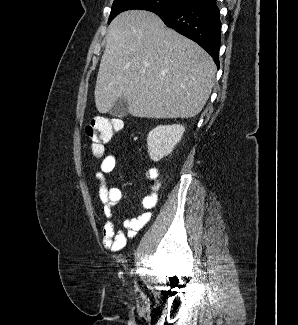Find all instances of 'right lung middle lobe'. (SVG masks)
Instances as JSON below:
<instances>
[{
  "label": "right lung middle lobe",
  "instance_id": "obj_1",
  "mask_svg": "<svg viewBox=\"0 0 298 325\" xmlns=\"http://www.w3.org/2000/svg\"><path fill=\"white\" fill-rule=\"evenodd\" d=\"M192 0H114L108 23L119 13L131 9H142L152 12L173 11L184 7Z\"/></svg>",
  "mask_w": 298,
  "mask_h": 325
}]
</instances>
